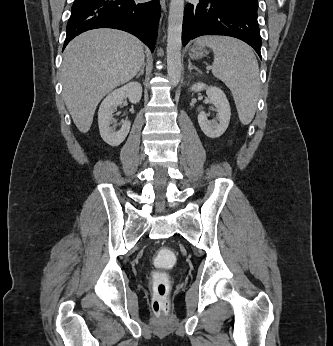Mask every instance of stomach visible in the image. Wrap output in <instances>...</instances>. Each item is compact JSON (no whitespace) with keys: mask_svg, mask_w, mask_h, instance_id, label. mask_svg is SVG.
<instances>
[{"mask_svg":"<svg viewBox=\"0 0 333 346\" xmlns=\"http://www.w3.org/2000/svg\"><path fill=\"white\" fill-rule=\"evenodd\" d=\"M207 53H208V51L204 45L195 44L192 47H190V49H189V55L191 58H194V59L202 58V57L206 56Z\"/></svg>","mask_w":333,"mask_h":346,"instance_id":"stomach-1","label":"stomach"}]
</instances>
